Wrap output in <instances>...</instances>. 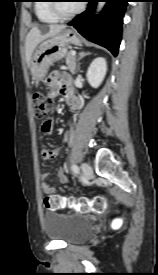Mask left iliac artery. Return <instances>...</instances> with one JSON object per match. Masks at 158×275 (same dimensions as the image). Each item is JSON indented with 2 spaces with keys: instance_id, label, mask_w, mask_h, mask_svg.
Returning <instances> with one entry per match:
<instances>
[{
  "instance_id": "obj_1",
  "label": "left iliac artery",
  "mask_w": 158,
  "mask_h": 275,
  "mask_svg": "<svg viewBox=\"0 0 158 275\" xmlns=\"http://www.w3.org/2000/svg\"><path fill=\"white\" fill-rule=\"evenodd\" d=\"M71 169H72V171H73L74 173H76V174L79 173V168H78V166L72 165V166H71Z\"/></svg>"
}]
</instances>
